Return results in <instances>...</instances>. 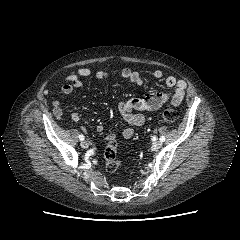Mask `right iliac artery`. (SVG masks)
<instances>
[{"label": "right iliac artery", "instance_id": "right-iliac-artery-1", "mask_svg": "<svg viewBox=\"0 0 240 240\" xmlns=\"http://www.w3.org/2000/svg\"><path fill=\"white\" fill-rule=\"evenodd\" d=\"M79 139H80V140H84L85 137L81 134V135H79Z\"/></svg>", "mask_w": 240, "mask_h": 240}]
</instances>
